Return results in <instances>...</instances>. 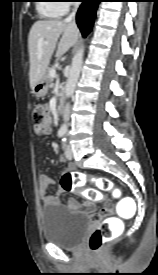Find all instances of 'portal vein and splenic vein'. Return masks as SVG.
<instances>
[{"label":"portal vein and splenic vein","instance_id":"18ae733b","mask_svg":"<svg viewBox=\"0 0 158 275\" xmlns=\"http://www.w3.org/2000/svg\"><path fill=\"white\" fill-rule=\"evenodd\" d=\"M50 75H51L52 78H55V77H56V70H55V69H52V70L50 71Z\"/></svg>","mask_w":158,"mask_h":275}]
</instances>
